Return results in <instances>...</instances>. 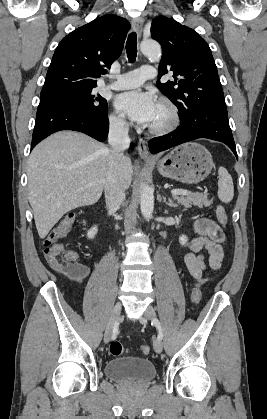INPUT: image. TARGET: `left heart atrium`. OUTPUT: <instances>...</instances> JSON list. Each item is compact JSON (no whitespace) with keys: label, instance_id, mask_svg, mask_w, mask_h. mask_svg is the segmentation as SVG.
Segmentation results:
<instances>
[{"label":"left heart atrium","instance_id":"1","mask_svg":"<svg viewBox=\"0 0 267 419\" xmlns=\"http://www.w3.org/2000/svg\"><path fill=\"white\" fill-rule=\"evenodd\" d=\"M115 105L133 121L148 126L154 118L158 102L151 92L133 90L118 95Z\"/></svg>","mask_w":267,"mask_h":419}]
</instances>
